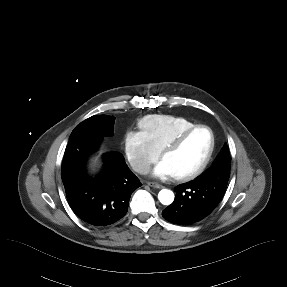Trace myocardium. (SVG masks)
Returning a JSON list of instances; mask_svg holds the SVG:
<instances>
[{
    "instance_id": "obj_1",
    "label": "myocardium",
    "mask_w": 287,
    "mask_h": 287,
    "mask_svg": "<svg viewBox=\"0 0 287 287\" xmlns=\"http://www.w3.org/2000/svg\"><path fill=\"white\" fill-rule=\"evenodd\" d=\"M198 129H205L210 134L211 142H210V147H209L208 153H207L206 157L204 158V160L202 161V163L193 171H191L187 174H183V175L172 176V179L175 181H179V182L190 181V180L195 179L196 177H198L200 174H202L205 171V169L207 168V166L211 162V159H212L214 151H215L216 141H215V135H214L213 130L209 126L204 125V124L194 125L188 129L180 132L160 152V159H162L165 155L177 150L184 143V141L194 131H196Z\"/></svg>"
}]
</instances>
